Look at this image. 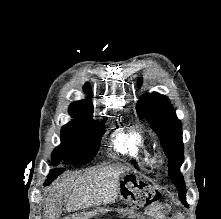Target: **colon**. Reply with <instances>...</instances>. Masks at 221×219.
<instances>
[{"instance_id": "5ec220e1", "label": "colon", "mask_w": 221, "mask_h": 219, "mask_svg": "<svg viewBox=\"0 0 221 219\" xmlns=\"http://www.w3.org/2000/svg\"><path fill=\"white\" fill-rule=\"evenodd\" d=\"M123 190L129 192L138 201L140 206H149L154 201L152 196L153 189L140 182L126 181L123 184Z\"/></svg>"}]
</instances>
